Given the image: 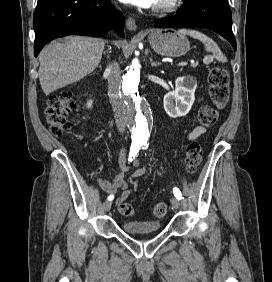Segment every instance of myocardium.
Listing matches in <instances>:
<instances>
[{
  "label": "myocardium",
  "mask_w": 272,
  "mask_h": 282,
  "mask_svg": "<svg viewBox=\"0 0 272 282\" xmlns=\"http://www.w3.org/2000/svg\"><path fill=\"white\" fill-rule=\"evenodd\" d=\"M181 0H170L164 5L153 8V12L159 15H168L175 12L180 7Z\"/></svg>",
  "instance_id": "myocardium-1"
}]
</instances>
